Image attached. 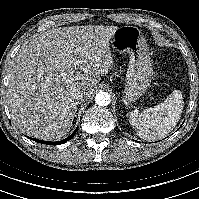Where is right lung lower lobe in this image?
Segmentation results:
<instances>
[{"label":"right lung lower lobe","mask_w":199,"mask_h":199,"mask_svg":"<svg viewBox=\"0 0 199 199\" xmlns=\"http://www.w3.org/2000/svg\"><path fill=\"white\" fill-rule=\"evenodd\" d=\"M76 131H77V129L69 137H67L66 139L61 140V141H57V142H48V141L38 140V139H34V138H30V139L33 140V141L42 143V144L59 145V144H63L65 142L69 141L74 136V134L76 133Z\"/></svg>","instance_id":"right-lung-lower-lobe-1"}]
</instances>
